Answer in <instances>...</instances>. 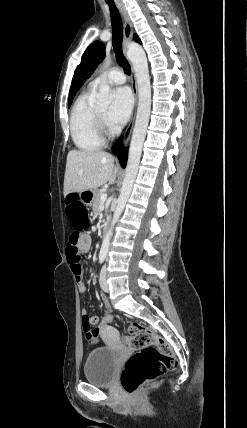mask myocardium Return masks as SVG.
Returning <instances> with one entry per match:
<instances>
[{"mask_svg": "<svg viewBox=\"0 0 247 428\" xmlns=\"http://www.w3.org/2000/svg\"><path fill=\"white\" fill-rule=\"evenodd\" d=\"M94 119L96 127L99 131V133L102 135V137L107 133V125L105 119L101 116V114L95 109L94 112Z\"/></svg>", "mask_w": 247, "mask_h": 428, "instance_id": "f54148a6", "label": "myocardium"}]
</instances>
